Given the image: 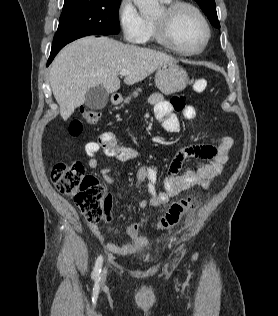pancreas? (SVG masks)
Wrapping results in <instances>:
<instances>
[{"instance_id": "obj_1", "label": "pancreas", "mask_w": 278, "mask_h": 316, "mask_svg": "<svg viewBox=\"0 0 278 316\" xmlns=\"http://www.w3.org/2000/svg\"><path fill=\"white\" fill-rule=\"evenodd\" d=\"M142 89L138 88L137 90H135L131 96H129L128 98L125 99L124 103H129V101L131 100L132 97H137L139 95V92H141ZM123 107V105L121 106Z\"/></svg>"}]
</instances>
